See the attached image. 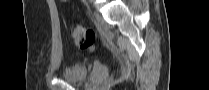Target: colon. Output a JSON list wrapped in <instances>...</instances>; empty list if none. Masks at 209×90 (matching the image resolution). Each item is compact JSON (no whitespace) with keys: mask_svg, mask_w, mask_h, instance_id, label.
Segmentation results:
<instances>
[{"mask_svg":"<svg viewBox=\"0 0 209 90\" xmlns=\"http://www.w3.org/2000/svg\"><path fill=\"white\" fill-rule=\"evenodd\" d=\"M72 42L80 49L91 50L95 46V32L87 27L76 25L71 30Z\"/></svg>","mask_w":209,"mask_h":90,"instance_id":"1","label":"colon"}]
</instances>
